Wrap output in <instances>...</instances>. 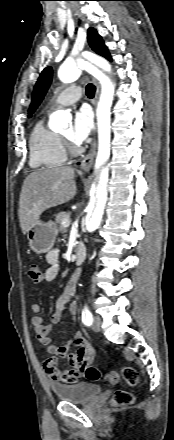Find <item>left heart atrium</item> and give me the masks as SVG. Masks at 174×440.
<instances>
[{
    "label": "left heart atrium",
    "instance_id": "39dd6f15",
    "mask_svg": "<svg viewBox=\"0 0 174 440\" xmlns=\"http://www.w3.org/2000/svg\"><path fill=\"white\" fill-rule=\"evenodd\" d=\"M93 129V116L89 108L83 106L74 114L70 139L73 143L82 144Z\"/></svg>",
    "mask_w": 174,
    "mask_h": 440
}]
</instances>
